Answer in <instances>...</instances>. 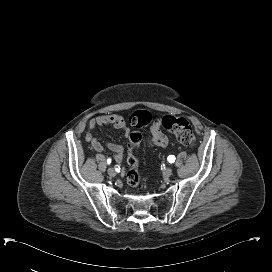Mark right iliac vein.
I'll return each mask as SVG.
<instances>
[{
  "mask_svg": "<svg viewBox=\"0 0 272 272\" xmlns=\"http://www.w3.org/2000/svg\"><path fill=\"white\" fill-rule=\"evenodd\" d=\"M107 173L110 177H114L116 175V171L113 168H109Z\"/></svg>",
  "mask_w": 272,
  "mask_h": 272,
  "instance_id": "right-iliac-vein-1",
  "label": "right iliac vein"
}]
</instances>
